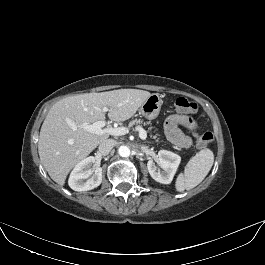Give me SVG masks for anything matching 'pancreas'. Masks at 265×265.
Returning a JSON list of instances; mask_svg holds the SVG:
<instances>
[{
	"label": "pancreas",
	"instance_id": "obj_1",
	"mask_svg": "<svg viewBox=\"0 0 265 265\" xmlns=\"http://www.w3.org/2000/svg\"><path fill=\"white\" fill-rule=\"evenodd\" d=\"M139 124H142V121L140 120V119H135V120H133V121H131L130 122V127H132V126H134V125H139ZM147 124H149V123H147ZM144 125H145V123H144ZM156 136H153L152 138H155Z\"/></svg>",
	"mask_w": 265,
	"mask_h": 265
}]
</instances>
